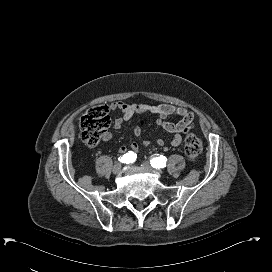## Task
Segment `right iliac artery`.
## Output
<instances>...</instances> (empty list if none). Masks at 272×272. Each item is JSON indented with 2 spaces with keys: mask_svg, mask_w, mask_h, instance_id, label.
<instances>
[{
  "mask_svg": "<svg viewBox=\"0 0 272 272\" xmlns=\"http://www.w3.org/2000/svg\"><path fill=\"white\" fill-rule=\"evenodd\" d=\"M136 157H137L136 154L129 151L128 153L124 154L121 158H119V161H121L122 163L130 164L135 162Z\"/></svg>",
  "mask_w": 272,
  "mask_h": 272,
  "instance_id": "right-iliac-artery-1",
  "label": "right iliac artery"
}]
</instances>
